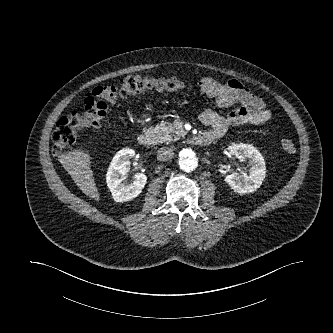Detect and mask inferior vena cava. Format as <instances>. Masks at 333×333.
<instances>
[{
    "label": "inferior vena cava",
    "instance_id": "inferior-vena-cava-1",
    "mask_svg": "<svg viewBox=\"0 0 333 333\" xmlns=\"http://www.w3.org/2000/svg\"><path fill=\"white\" fill-rule=\"evenodd\" d=\"M174 156V151L172 148L162 147L158 150L157 159L160 161H168Z\"/></svg>",
    "mask_w": 333,
    "mask_h": 333
}]
</instances>
